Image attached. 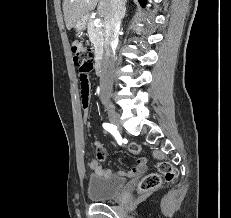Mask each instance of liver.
I'll use <instances>...</instances> for the list:
<instances>
[{
    "label": "liver",
    "instance_id": "liver-1",
    "mask_svg": "<svg viewBox=\"0 0 231 218\" xmlns=\"http://www.w3.org/2000/svg\"><path fill=\"white\" fill-rule=\"evenodd\" d=\"M97 13L101 17H106L110 9V0H63L64 20L68 30L74 23L84 17L97 6Z\"/></svg>",
    "mask_w": 231,
    "mask_h": 218
}]
</instances>
